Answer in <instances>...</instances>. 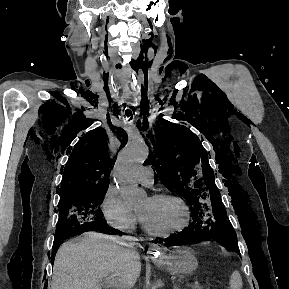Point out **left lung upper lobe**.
<instances>
[{
    "mask_svg": "<svg viewBox=\"0 0 289 289\" xmlns=\"http://www.w3.org/2000/svg\"><path fill=\"white\" fill-rule=\"evenodd\" d=\"M155 128L148 164L155 179L184 197L191 206L193 223L214 230L217 242L240 254L236 233L215 184L208 155L199 138L188 128L163 120Z\"/></svg>",
    "mask_w": 289,
    "mask_h": 289,
    "instance_id": "obj_1",
    "label": "left lung upper lobe"
}]
</instances>
